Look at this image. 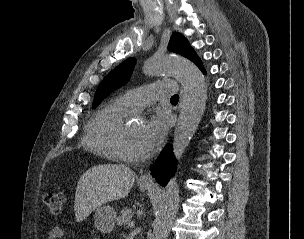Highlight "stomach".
<instances>
[{"label":"stomach","mask_w":304,"mask_h":239,"mask_svg":"<svg viewBox=\"0 0 304 239\" xmlns=\"http://www.w3.org/2000/svg\"><path fill=\"white\" fill-rule=\"evenodd\" d=\"M143 189L149 188L148 185H142ZM95 226L102 233H110L115 227L116 212L113 207L103 205L96 208Z\"/></svg>","instance_id":"0dacf381"}]
</instances>
